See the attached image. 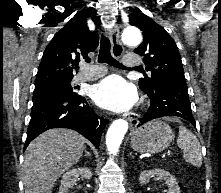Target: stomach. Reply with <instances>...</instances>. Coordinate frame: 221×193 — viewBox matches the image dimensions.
Listing matches in <instances>:
<instances>
[{"label": "stomach", "mask_w": 221, "mask_h": 193, "mask_svg": "<svg viewBox=\"0 0 221 193\" xmlns=\"http://www.w3.org/2000/svg\"><path fill=\"white\" fill-rule=\"evenodd\" d=\"M173 138V131L166 122L152 120L130 134V146L139 153H157L167 148Z\"/></svg>", "instance_id": "obj_1"}]
</instances>
